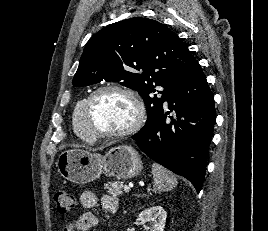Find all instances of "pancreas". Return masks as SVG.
Segmentation results:
<instances>
[{
  "label": "pancreas",
  "mask_w": 268,
  "mask_h": 231,
  "mask_svg": "<svg viewBox=\"0 0 268 231\" xmlns=\"http://www.w3.org/2000/svg\"><path fill=\"white\" fill-rule=\"evenodd\" d=\"M104 188L107 192L113 196H119L124 192L123 182H108L104 184Z\"/></svg>",
  "instance_id": "1"
}]
</instances>
